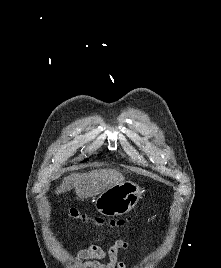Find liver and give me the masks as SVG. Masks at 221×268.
Wrapping results in <instances>:
<instances>
[{
    "label": "liver",
    "instance_id": "liver-1",
    "mask_svg": "<svg viewBox=\"0 0 221 268\" xmlns=\"http://www.w3.org/2000/svg\"><path fill=\"white\" fill-rule=\"evenodd\" d=\"M125 177L114 169H95L87 173H74L65 177L56 194L75 189L81 199L94 197L110 187L124 182Z\"/></svg>",
    "mask_w": 221,
    "mask_h": 268
}]
</instances>
